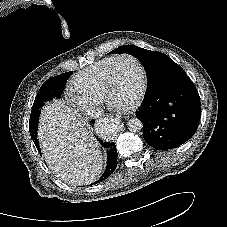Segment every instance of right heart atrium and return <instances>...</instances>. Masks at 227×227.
<instances>
[{"label":"right heart atrium","instance_id":"obj_1","mask_svg":"<svg viewBox=\"0 0 227 227\" xmlns=\"http://www.w3.org/2000/svg\"><path fill=\"white\" fill-rule=\"evenodd\" d=\"M70 100L79 108L83 109L84 111L93 109L98 102L84 96H71Z\"/></svg>","mask_w":227,"mask_h":227}]
</instances>
